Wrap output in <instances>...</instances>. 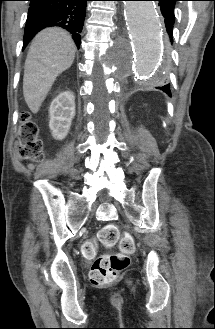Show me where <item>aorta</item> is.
<instances>
[{"label": "aorta", "mask_w": 215, "mask_h": 329, "mask_svg": "<svg viewBox=\"0 0 215 329\" xmlns=\"http://www.w3.org/2000/svg\"><path fill=\"white\" fill-rule=\"evenodd\" d=\"M126 26L135 49V66L139 75L154 80L162 59L163 26L152 1H125Z\"/></svg>", "instance_id": "obj_1"}]
</instances>
